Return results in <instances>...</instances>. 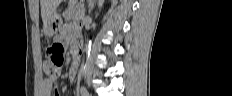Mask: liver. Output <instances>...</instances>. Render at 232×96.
Segmentation results:
<instances>
[{"instance_id":"6515ba94","label":"liver","mask_w":232,"mask_h":96,"mask_svg":"<svg viewBox=\"0 0 232 96\" xmlns=\"http://www.w3.org/2000/svg\"><path fill=\"white\" fill-rule=\"evenodd\" d=\"M61 0H40L41 4V16L43 24H47L51 15L56 11V8L60 4Z\"/></svg>"}]
</instances>
